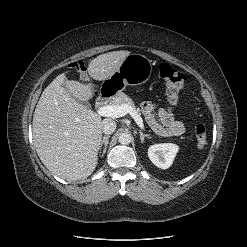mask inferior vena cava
Wrapping results in <instances>:
<instances>
[{"instance_id": "1", "label": "inferior vena cava", "mask_w": 247, "mask_h": 247, "mask_svg": "<svg viewBox=\"0 0 247 247\" xmlns=\"http://www.w3.org/2000/svg\"><path fill=\"white\" fill-rule=\"evenodd\" d=\"M116 129V123L115 121L111 119H104L102 121V131L106 135L112 134Z\"/></svg>"}]
</instances>
